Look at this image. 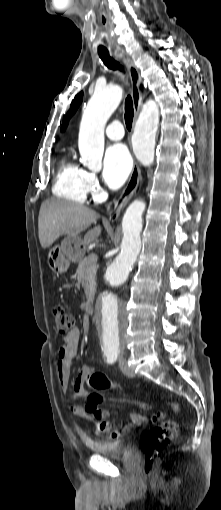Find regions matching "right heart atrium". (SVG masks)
I'll return each mask as SVG.
<instances>
[{"mask_svg": "<svg viewBox=\"0 0 221 510\" xmlns=\"http://www.w3.org/2000/svg\"><path fill=\"white\" fill-rule=\"evenodd\" d=\"M85 186H86L87 192L90 193L93 197H97L101 192V187H100L98 177L93 172L86 171Z\"/></svg>", "mask_w": 221, "mask_h": 510, "instance_id": "1", "label": "right heart atrium"}]
</instances>
